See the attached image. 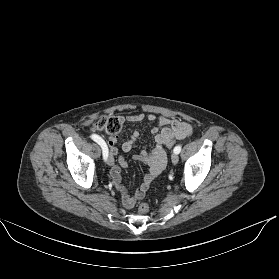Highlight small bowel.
Wrapping results in <instances>:
<instances>
[{
	"instance_id": "obj_1",
	"label": "small bowel",
	"mask_w": 279,
	"mask_h": 279,
	"mask_svg": "<svg viewBox=\"0 0 279 279\" xmlns=\"http://www.w3.org/2000/svg\"><path fill=\"white\" fill-rule=\"evenodd\" d=\"M147 119L150 122L157 121V126L152 129L155 135V146L151 151L143 150L134 158L149 166V173L144 177L142 184L135 190L133 195H129L125 186L122 183L121 168L127 166V158L125 155H119L117 162L110 170L111 179L115 187L122 193V203L125 208L134 206L136 200L141 199L148 190L151 182L162 172L167 162V155L164 149L167 141L170 138L177 140L183 139L192 133V127L187 122L170 119L165 116H157L155 114L145 115L144 113L126 115L119 118L121 123L124 122H140ZM139 138V132L135 131L131 134L122 145L124 153L130 152L136 145ZM108 145L112 155H118V140L116 136L108 137Z\"/></svg>"
}]
</instances>
